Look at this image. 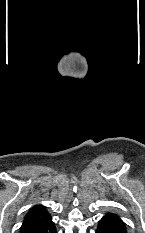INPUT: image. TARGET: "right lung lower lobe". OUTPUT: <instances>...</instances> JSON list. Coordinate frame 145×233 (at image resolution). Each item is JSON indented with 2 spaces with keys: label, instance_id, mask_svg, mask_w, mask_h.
<instances>
[{
  "label": "right lung lower lobe",
  "instance_id": "1",
  "mask_svg": "<svg viewBox=\"0 0 145 233\" xmlns=\"http://www.w3.org/2000/svg\"><path fill=\"white\" fill-rule=\"evenodd\" d=\"M24 233H57L55 224L52 221V218L44 220L43 222L35 225L30 230L25 231Z\"/></svg>",
  "mask_w": 145,
  "mask_h": 233
}]
</instances>
